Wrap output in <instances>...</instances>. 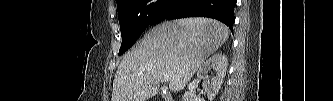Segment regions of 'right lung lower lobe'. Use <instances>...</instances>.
I'll list each match as a JSON object with an SVG mask.
<instances>
[{"label":"right lung lower lobe","instance_id":"1","mask_svg":"<svg viewBox=\"0 0 333 101\" xmlns=\"http://www.w3.org/2000/svg\"><path fill=\"white\" fill-rule=\"evenodd\" d=\"M235 5L236 0H168L156 23L200 16L217 19L233 30Z\"/></svg>","mask_w":333,"mask_h":101}]
</instances>
